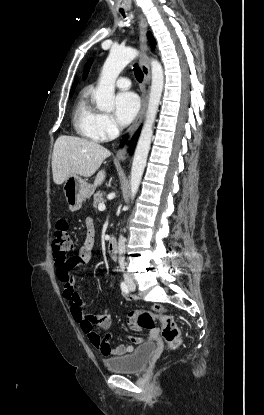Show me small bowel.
I'll return each mask as SVG.
<instances>
[{"label":"small bowel","mask_w":264,"mask_h":415,"mask_svg":"<svg viewBox=\"0 0 264 415\" xmlns=\"http://www.w3.org/2000/svg\"><path fill=\"white\" fill-rule=\"evenodd\" d=\"M87 236L85 243L80 247L78 253L66 259L64 262L58 264L57 277L63 284V299L67 302L73 320L79 324L81 331L87 335L89 340L99 349L100 353L106 358H116L128 355L134 351V345L141 344L143 339L136 336L119 334L121 338H126L130 344H119L112 347L109 339L112 334L106 339H101L95 331V326L102 329L109 330L112 325V317L109 313V306L104 305L103 311L100 314H90L85 310V306L80 298L79 293L75 289L74 280L71 272L74 269H81L87 266L93 256V249L95 243V226L93 219H88L86 222ZM127 300H132L128 295H125ZM155 311V309H153ZM136 314L130 312L127 316V324L133 331H141L142 328L134 323ZM157 337L156 329L151 330L148 340H153Z\"/></svg>","instance_id":"1"}]
</instances>
